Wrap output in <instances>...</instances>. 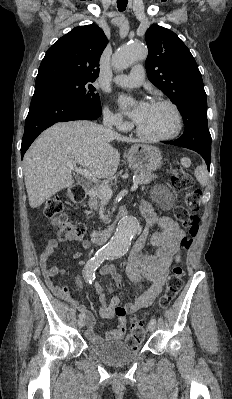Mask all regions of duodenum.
Returning a JSON list of instances; mask_svg holds the SVG:
<instances>
[{"instance_id": "obj_1", "label": "duodenum", "mask_w": 232, "mask_h": 399, "mask_svg": "<svg viewBox=\"0 0 232 399\" xmlns=\"http://www.w3.org/2000/svg\"><path fill=\"white\" fill-rule=\"evenodd\" d=\"M69 199L73 203H80L87 196V188L83 185H77L69 191ZM112 228L95 230L91 234V240L96 244H104L110 237Z\"/></svg>"}]
</instances>
